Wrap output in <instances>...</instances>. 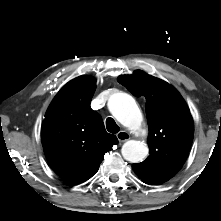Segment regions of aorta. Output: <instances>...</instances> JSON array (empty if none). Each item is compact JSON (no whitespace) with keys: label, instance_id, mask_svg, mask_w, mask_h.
Returning a JSON list of instances; mask_svg holds the SVG:
<instances>
[{"label":"aorta","instance_id":"aorta-1","mask_svg":"<svg viewBox=\"0 0 221 221\" xmlns=\"http://www.w3.org/2000/svg\"><path fill=\"white\" fill-rule=\"evenodd\" d=\"M108 108L123 126L133 131L140 128L143 116L134 98L129 94H113L108 100ZM121 153L125 160L139 163L147 157L149 149L144 142L129 140L122 146Z\"/></svg>","mask_w":221,"mask_h":221}]
</instances>
